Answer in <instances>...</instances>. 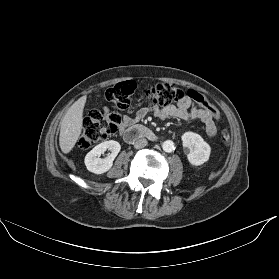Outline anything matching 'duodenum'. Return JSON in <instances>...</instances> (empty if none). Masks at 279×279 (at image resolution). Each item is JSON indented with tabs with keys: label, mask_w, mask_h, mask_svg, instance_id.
<instances>
[{
	"label": "duodenum",
	"mask_w": 279,
	"mask_h": 279,
	"mask_svg": "<svg viewBox=\"0 0 279 279\" xmlns=\"http://www.w3.org/2000/svg\"><path fill=\"white\" fill-rule=\"evenodd\" d=\"M122 138L125 142L132 143L143 138L155 141L159 139V135L144 126L135 125L127 130H124L122 132Z\"/></svg>",
	"instance_id": "410a0bca"
}]
</instances>
